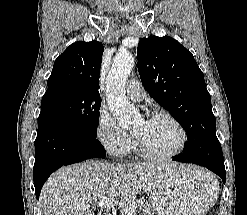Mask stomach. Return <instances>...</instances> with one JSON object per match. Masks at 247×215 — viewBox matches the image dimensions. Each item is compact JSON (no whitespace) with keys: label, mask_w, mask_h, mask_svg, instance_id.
Instances as JSON below:
<instances>
[{"label":"stomach","mask_w":247,"mask_h":215,"mask_svg":"<svg viewBox=\"0 0 247 215\" xmlns=\"http://www.w3.org/2000/svg\"><path fill=\"white\" fill-rule=\"evenodd\" d=\"M217 187L204 169L178 165L155 181L149 202L157 215H204L215 202Z\"/></svg>","instance_id":"stomach-1"}]
</instances>
